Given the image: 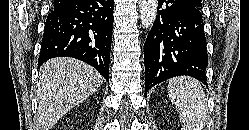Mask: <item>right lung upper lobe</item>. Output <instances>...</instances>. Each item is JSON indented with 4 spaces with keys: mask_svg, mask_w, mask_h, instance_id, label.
Listing matches in <instances>:
<instances>
[{
    "mask_svg": "<svg viewBox=\"0 0 249 130\" xmlns=\"http://www.w3.org/2000/svg\"><path fill=\"white\" fill-rule=\"evenodd\" d=\"M72 0H55L53 5V10L63 7Z\"/></svg>",
    "mask_w": 249,
    "mask_h": 130,
    "instance_id": "cb5924a9",
    "label": "right lung upper lobe"
}]
</instances>
